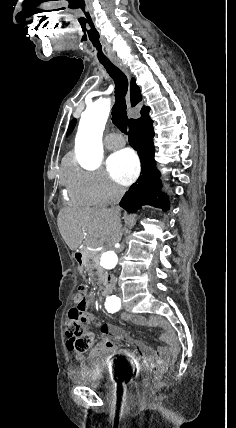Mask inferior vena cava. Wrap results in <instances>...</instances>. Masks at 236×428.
<instances>
[{"instance_id": "602c4592", "label": "inferior vena cava", "mask_w": 236, "mask_h": 428, "mask_svg": "<svg viewBox=\"0 0 236 428\" xmlns=\"http://www.w3.org/2000/svg\"><path fill=\"white\" fill-rule=\"evenodd\" d=\"M108 190L109 192H111V202H113V204H118L119 200H121L123 194H124V190L123 188H121V186H116V184H109L108 186ZM113 214H115L116 216V221H118V223H121L122 221V216H120V208L119 206H112L111 208Z\"/></svg>"}]
</instances>
